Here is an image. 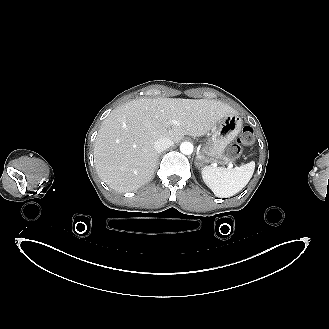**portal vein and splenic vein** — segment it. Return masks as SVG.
<instances>
[{
  "label": "portal vein and splenic vein",
  "mask_w": 329,
  "mask_h": 329,
  "mask_svg": "<svg viewBox=\"0 0 329 329\" xmlns=\"http://www.w3.org/2000/svg\"><path fill=\"white\" fill-rule=\"evenodd\" d=\"M177 123L175 121H172L170 124ZM229 168H232V164H229Z\"/></svg>",
  "instance_id": "portal-vein-and-splenic-vein-1"
}]
</instances>
